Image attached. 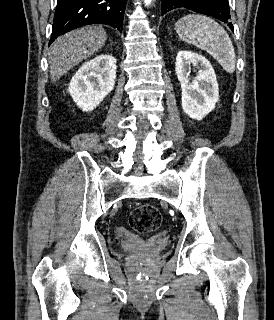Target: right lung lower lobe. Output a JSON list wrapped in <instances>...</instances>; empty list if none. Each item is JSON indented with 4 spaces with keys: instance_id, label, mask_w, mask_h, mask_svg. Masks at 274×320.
<instances>
[{
    "instance_id": "right-lung-lower-lobe-1",
    "label": "right lung lower lobe",
    "mask_w": 274,
    "mask_h": 320,
    "mask_svg": "<svg viewBox=\"0 0 274 320\" xmlns=\"http://www.w3.org/2000/svg\"><path fill=\"white\" fill-rule=\"evenodd\" d=\"M127 0H57L51 44L58 36L89 24L122 30Z\"/></svg>"
}]
</instances>
